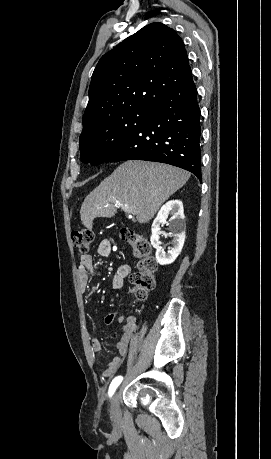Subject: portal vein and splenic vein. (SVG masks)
<instances>
[{
  "label": "portal vein and splenic vein",
  "instance_id": "1",
  "mask_svg": "<svg viewBox=\"0 0 271 459\" xmlns=\"http://www.w3.org/2000/svg\"><path fill=\"white\" fill-rule=\"evenodd\" d=\"M124 212H128V214H135V210L133 208H122Z\"/></svg>",
  "mask_w": 271,
  "mask_h": 459
}]
</instances>
